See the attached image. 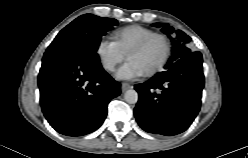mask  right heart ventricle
I'll list each match as a JSON object with an SVG mask.
<instances>
[{
    "label": "right heart ventricle",
    "instance_id": "1",
    "mask_svg": "<svg viewBox=\"0 0 248 158\" xmlns=\"http://www.w3.org/2000/svg\"><path fill=\"white\" fill-rule=\"evenodd\" d=\"M152 33H154V31L151 29L139 25H132L115 30L112 37L119 48L127 54L135 44Z\"/></svg>",
    "mask_w": 248,
    "mask_h": 158
}]
</instances>
